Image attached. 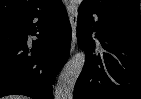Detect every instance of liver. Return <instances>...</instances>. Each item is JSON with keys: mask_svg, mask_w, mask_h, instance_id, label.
I'll list each match as a JSON object with an SVG mask.
<instances>
[{"mask_svg": "<svg viewBox=\"0 0 141 99\" xmlns=\"http://www.w3.org/2000/svg\"><path fill=\"white\" fill-rule=\"evenodd\" d=\"M7 99H28V98H26V97H24V96H10V97L7 98Z\"/></svg>", "mask_w": 141, "mask_h": 99, "instance_id": "obj_1", "label": "liver"}]
</instances>
